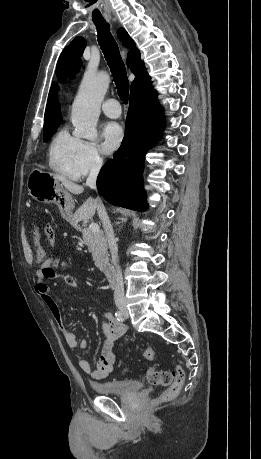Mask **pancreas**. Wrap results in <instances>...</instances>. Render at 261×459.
Instances as JSON below:
<instances>
[{
    "label": "pancreas",
    "instance_id": "pancreas-1",
    "mask_svg": "<svg viewBox=\"0 0 261 459\" xmlns=\"http://www.w3.org/2000/svg\"><path fill=\"white\" fill-rule=\"evenodd\" d=\"M82 234L84 244L88 246L95 265L100 269H104L108 263L109 256L104 233L102 231L93 232L89 228H84Z\"/></svg>",
    "mask_w": 261,
    "mask_h": 459
}]
</instances>
